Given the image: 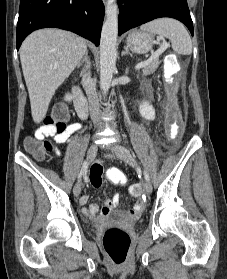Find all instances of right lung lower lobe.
<instances>
[{
    "label": "right lung lower lobe",
    "mask_w": 227,
    "mask_h": 279,
    "mask_svg": "<svg viewBox=\"0 0 227 279\" xmlns=\"http://www.w3.org/2000/svg\"><path fill=\"white\" fill-rule=\"evenodd\" d=\"M104 11L102 0H20L17 50L31 32L47 27L72 31L98 46Z\"/></svg>",
    "instance_id": "right-lung-lower-lobe-1"
}]
</instances>
